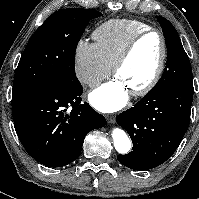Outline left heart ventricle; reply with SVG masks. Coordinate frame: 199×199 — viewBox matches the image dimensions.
I'll list each match as a JSON object with an SVG mask.
<instances>
[{"label": "left heart ventricle", "instance_id": "1", "mask_svg": "<svg viewBox=\"0 0 199 199\" xmlns=\"http://www.w3.org/2000/svg\"><path fill=\"white\" fill-rule=\"evenodd\" d=\"M161 55V43L157 35L143 38L127 61L120 67L119 78L129 91H133L149 81L154 74Z\"/></svg>", "mask_w": 199, "mask_h": 199}]
</instances>
